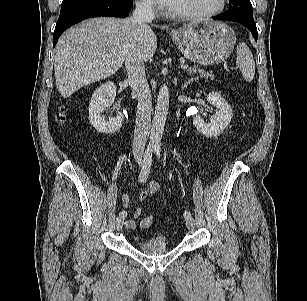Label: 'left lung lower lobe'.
Masks as SVG:
<instances>
[{
  "mask_svg": "<svg viewBox=\"0 0 307 301\" xmlns=\"http://www.w3.org/2000/svg\"><path fill=\"white\" fill-rule=\"evenodd\" d=\"M215 20H228V21H235L243 24L246 26L252 33L254 39L257 41L258 38V32L256 28V24L254 22V19H245V18H239V17H225L223 15L214 17Z\"/></svg>",
  "mask_w": 307,
  "mask_h": 301,
  "instance_id": "0a47b994",
  "label": "left lung lower lobe"
}]
</instances>
